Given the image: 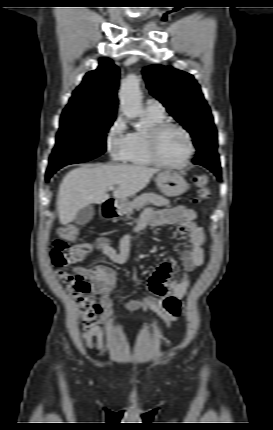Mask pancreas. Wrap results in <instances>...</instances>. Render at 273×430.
<instances>
[{
    "mask_svg": "<svg viewBox=\"0 0 273 430\" xmlns=\"http://www.w3.org/2000/svg\"><path fill=\"white\" fill-rule=\"evenodd\" d=\"M149 203H152L155 206H166L169 204V200L153 192L141 194L128 204L126 208V212L128 213L127 216L129 217L134 209L139 210Z\"/></svg>",
    "mask_w": 273,
    "mask_h": 430,
    "instance_id": "pancreas-1",
    "label": "pancreas"
}]
</instances>
